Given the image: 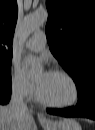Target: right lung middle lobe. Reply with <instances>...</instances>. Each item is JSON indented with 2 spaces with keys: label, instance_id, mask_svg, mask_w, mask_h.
<instances>
[{
  "label": "right lung middle lobe",
  "instance_id": "dd1d6c3e",
  "mask_svg": "<svg viewBox=\"0 0 95 130\" xmlns=\"http://www.w3.org/2000/svg\"><path fill=\"white\" fill-rule=\"evenodd\" d=\"M11 61V57L0 58V88L11 86Z\"/></svg>",
  "mask_w": 95,
  "mask_h": 130
}]
</instances>
